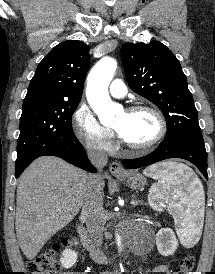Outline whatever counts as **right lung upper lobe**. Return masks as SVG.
<instances>
[{
	"label": "right lung upper lobe",
	"mask_w": 215,
	"mask_h": 274,
	"mask_svg": "<svg viewBox=\"0 0 215 274\" xmlns=\"http://www.w3.org/2000/svg\"><path fill=\"white\" fill-rule=\"evenodd\" d=\"M89 59V46L81 41L68 40L55 46L39 63L24 103L80 102Z\"/></svg>",
	"instance_id": "cb5924a9"
}]
</instances>
